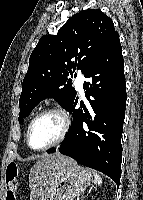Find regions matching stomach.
<instances>
[{"label": "stomach", "instance_id": "1", "mask_svg": "<svg viewBox=\"0 0 143 200\" xmlns=\"http://www.w3.org/2000/svg\"><path fill=\"white\" fill-rule=\"evenodd\" d=\"M91 172L77 163L67 164L51 178L43 200H74L90 185Z\"/></svg>", "mask_w": 143, "mask_h": 200}]
</instances>
